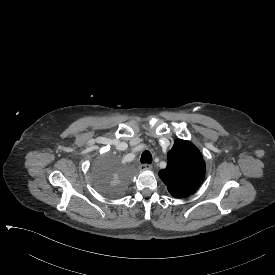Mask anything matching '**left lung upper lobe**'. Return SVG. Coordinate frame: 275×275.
I'll list each match as a JSON object with an SVG mask.
<instances>
[{
    "mask_svg": "<svg viewBox=\"0 0 275 275\" xmlns=\"http://www.w3.org/2000/svg\"><path fill=\"white\" fill-rule=\"evenodd\" d=\"M167 158V167L158 175L170 194L176 198L193 194L205 175V162L200 151L190 141L176 139Z\"/></svg>",
    "mask_w": 275,
    "mask_h": 275,
    "instance_id": "left-lung-upper-lobe-1",
    "label": "left lung upper lobe"
}]
</instances>
